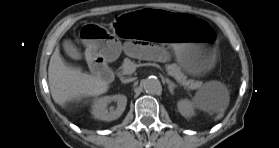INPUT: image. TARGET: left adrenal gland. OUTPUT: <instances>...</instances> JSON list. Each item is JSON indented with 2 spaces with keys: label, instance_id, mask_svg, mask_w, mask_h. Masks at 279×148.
<instances>
[{
  "label": "left adrenal gland",
  "instance_id": "left-adrenal-gland-1",
  "mask_svg": "<svg viewBox=\"0 0 279 148\" xmlns=\"http://www.w3.org/2000/svg\"><path fill=\"white\" fill-rule=\"evenodd\" d=\"M166 82L168 84L169 87V91L172 95H174V89L177 88V85L174 84L172 81H170L169 79H166Z\"/></svg>",
  "mask_w": 279,
  "mask_h": 148
}]
</instances>
